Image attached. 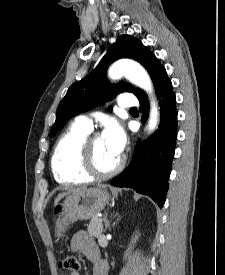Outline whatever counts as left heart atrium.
I'll return each instance as SVG.
<instances>
[{
	"label": "left heart atrium",
	"instance_id": "39dd6f15",
	"mask_svg": "<svg viewBox=\"0 0 225 275\" xmlns=\"http://www.w3.org/2000/svg\"><path fill=\"white\" fill-rule=\"evenodd\" d=\"M102 139L115 156H121L126 144V135L119 124L109 122L102 133Z\"/></svg>",
	"mask_w": 225,
	"mask_h": 275
}]
</instances>
